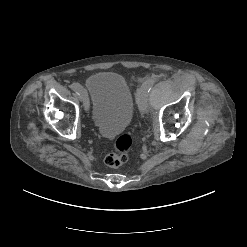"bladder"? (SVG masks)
Segmentation results:
<instances>
[{
	"mask_svg": "<svg viewBox=\"0 0 247 247\" xmlns=\"http://www.w3.org/2000/svg\"><path fill=\"white\" fill-rule=\"evenodd\" d=\"M91 119L105 137L122 132L134 113V96L125 78L115 72H98L86 81Z\"/></svg>",
	"mask_w": 247,
	"mask_h": 247,
	"instance_id": "bladder-1",
	"label": "bladder"
}]
</instances>
